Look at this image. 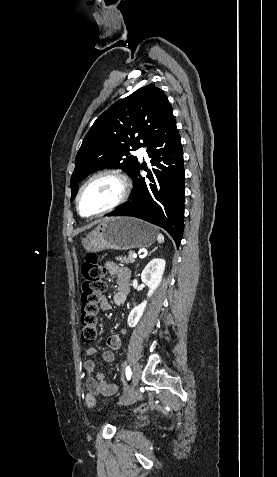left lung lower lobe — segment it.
<instances>
[{
  "mask_svg": "<svg viewBox=\"0 0 277 477\" xmlns=\"http://www.w3.org/2000/svg\"><path fill=\"white\" fill-rule=\"evenodd\" d=\"M151 164L155 166L147 179L139 166L133 174L134 187L129 201L107 216H132L164 228L177 247L183 234L184 165L181 138L175 118L157 132L146 144Z\"/></svg>",
  "mask_w": 277,
  "mask_h": 477,
  "instance_id": "0a47b994",
  "label": "left lung lower lobe"
}]
</instances>
